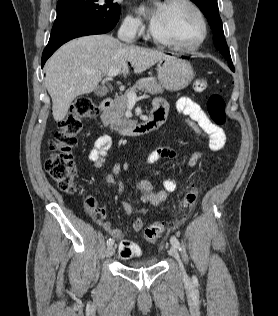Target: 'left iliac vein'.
Instances as JSON below:
<instances>
[{"label":"left iliac vein","instance_id":"obj_1","mask_svg":"<svg viewBox=\"0 0 278 316\" xmlns=\"http://www.w3.org/2000/svg\"><path fill=\"white\" fill-rule=\"evenodd\" d=\"M169 254L177 260L181 271H182L183 273H185L183 264H182V262H181V260H180V256H179V253H178L176 247L171 246L170 249H169Z\"/></svg>","mask_w":278,"mask_h":316}]
</instances>
